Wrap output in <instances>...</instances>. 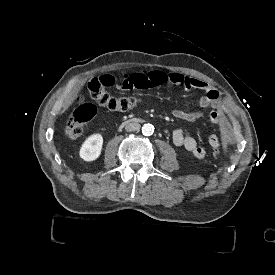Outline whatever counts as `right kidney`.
<instances>
[{
	"label": "right kidney",
	"mask_w": 275,
	"mask_h": 275,
	"mask_svg": "<svg viewBox=\"0 0 275 275\" xmlns=\"http://www.w3.org/2000/svg\"><path fill=\"white\" fill-rule=\"evenodd\" d=\"M103 137L101 134L89 136L80 148L79 155L85 161L96 160L101 154Z\"/></svg>",
	"instance_id": "right-kidney-1"
}]
</instances>
